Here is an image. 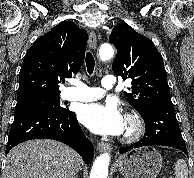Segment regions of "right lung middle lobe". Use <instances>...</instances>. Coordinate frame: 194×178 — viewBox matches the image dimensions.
Here are the masks:
<instances>
[{"label":"right lung middle lobe","instance_id":"right-lung-middle-lobe-1","mask_svg":"<svg viewBox=\"0 0 194 178\" xmlns=\"http://www.w3.org/2000/svg\"><path fill=\"white\" fill-rule=\"evenodd\" d=\"M26 107H44L58 112H63L66 110L60 106L59 96L17 102L15 110Z\"/></svg>","mask_w":194,"mask_h":178}]
</instances>
